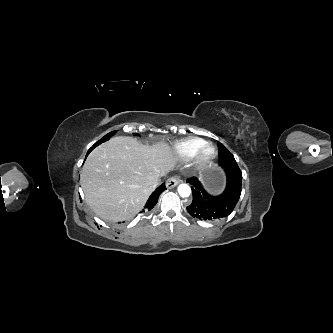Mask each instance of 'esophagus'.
<instances>
[{
  "label": "esophagus",
  "instance_id": "esophagus-1",
  "mask_svg": "<svg viewBox=\"0 0 333 333\" xmlns=\"http://www.w3.org/2000/svg\"><path fill=\"white\" fill-rule=\"evenodd\" d=\"M181 182L180 178L177 176H173L170 177L167 181H166V187L171 189L175 186H177L179 183Z\"/></svg>",
  "mask_w": 333,
  "mask_h": 333
}]
</instances>
